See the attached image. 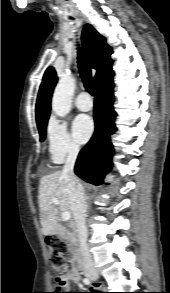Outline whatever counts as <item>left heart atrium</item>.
I'll list each match as a JSON object with an SVG mask.
<instances>
[{
    "mask_svg": "<svg viewBox=\"0 0 170 293\" xmlns=\"http://www.w3.org/2000/svg\"><path fill=\"white\" fill-rule=\"evenodd\" d=\"M72 131L78 142H87L94 131V123L92 118L84 114L78 115L73 121Z\"/></svg>",
    "mask_w": 170,
    "mask_h": 293,
    "instance_id": "39dd6f15",
    "label": "left heart atrium"
}]
</instances>
